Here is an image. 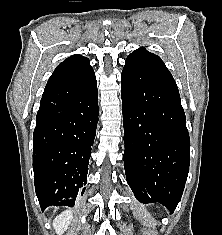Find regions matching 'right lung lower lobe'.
I'll return each instance as SVG.
<instances>
[{
  "mask_svg": "<svg viewBox=\"0 0 222 235\" xmlns=\"http://www.w3.org/2000/svg\"><path fill=\"white\" fill-rule=\"evenodd\" d=\"M97 123L98 90L93 69L48 80L33 135L34 183L42 210L75 204L87 182Z\"/></svg>",
  "mask_w": 222,
  "mask_h": 235,
  "instance_id": "obj_1",
  "label": "right lung lower lobe"
}]
</instances>
